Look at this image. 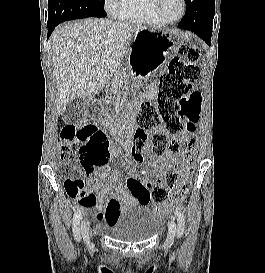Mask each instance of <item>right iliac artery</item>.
I'll return each instance as SVG.
<instances>
[{"label":"right iliac artery","instance_id":"82829eb1","mask_svg":"<svg viewBox=\"0 0 265 273\" xmlns=\"http://www.w3.org/2000/svg\"><path fill=\"white\" fill-rule=\"evenodd\" d=\"M82 216V211L78 209L73 217V234L76 241H80V220Z\"/></svg>","mask_w":265,"mask_h":273}]
</instances>
